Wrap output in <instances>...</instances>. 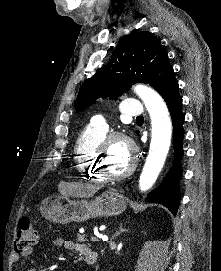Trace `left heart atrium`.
Returning a JSON list of instances; mask_svg holds the SVG:
<instances>
[{
    "instance_id": "left-heart-atrium-1",
    "label": "left heart atrium",
    "mask_w": 221,
    "mask_h": 271,
    "mask_svg": "<svg viewBox=\"0 0 221 271\" xmlns=\"http://www.w3.org/2000/svg\"><path fill=\"white\" fill-rule=\"evenodd\" d=\"M113 157H124V152H113Z\"/></svg>"
}]
</instances>
